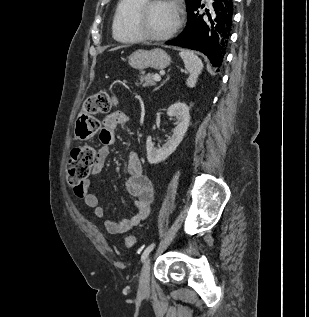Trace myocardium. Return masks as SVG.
<instances>
[{"label": "myocardium", "mask_w": 309, "mask_h": 317, "mask_svg": "<svg viewBox=\"0 0 309 317\" xmlns=\"http://www.w3.org/2000/svg\"><path fill=\"white\" fill-rule=\"evenodd\" d=\"M167 2L174 6L176 10V22L172 29L163 35H153L146 31L144 27V19L147 13L155 5ZM183 24V15L180 5L176 0H144V2L137 7L134 12L132 25L135 32L139 35L142 40L152 41V42H162L172 38L181 28Z\"/></svg>", "instance_id": "1"}]
</instances>
